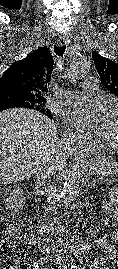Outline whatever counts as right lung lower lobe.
Returning a JSON list of instances; mask_svg holds the SVG:
<instances>
[{
    "label": "right lung lower lobe",
    "mask_w": 118,
    "mask_h": 269,
    "mask_svg": "<svg viewBox=\"0 0 118 269\" xmlns=\"http://www.w3.org/2000/svg\"><path fill=\"white\" fill-rule=\"evenodd\" d=\"M13 107H15V106H10V107H2V108H0V111L6 110V109H9V108H13Z\"/></svg>",
    "instance_id": "obj_1"
}]
</instances>
